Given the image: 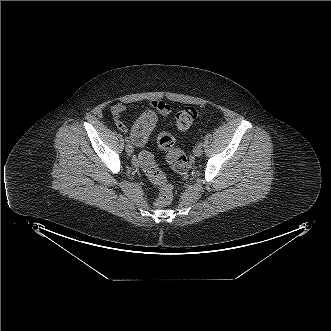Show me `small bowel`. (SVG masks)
Returning a JSON list of instances; mask_svg holds the SVG:
<instances>
[{
	"label": "small bowel",
	"mask_w": 331,
	"mask_h": 331,
	"mask_svg": "<svg viewBox=\"0 0 331 331\" xmlns=\"http://www.w3.org/2000/svg\"><path fill=\"white\" fill-rule=\"evenodd\" d=\"M129 109V106L124 103H117L111 107V114L117 128L121 132H128V126L122 121V114H124ZM147 109L155 110L162 115H168L171 112V106L162 100H152L149 102ZM133 133V128L131 134ZM143 154H149L148 152H143L138 157L140 161Z\"/></svg>",
	"instance_id": "1"
}]
</instances>
